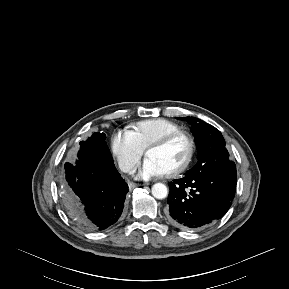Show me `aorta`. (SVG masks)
Listing matches in <instances>:
<instances>
[{
  "instance_id": "1",
  "label": "aorta",
  "mask_w": 289,
  "mask_h": 289,
  "mask_svg": "<svg viewBox=\"0 0 289 289\" xmlns=\"http://www.w3.org/2000/svg\"><path fill=\"white\" fill-rule=\"evenodd\" d=\"M151 192L156 199H164L168 194L167 187L162 183L154 184L152 186Z\"/></svg>"
}]
</instances>
